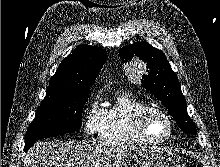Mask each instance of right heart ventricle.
<instances>
[{
	"label": "right heart ventricle",
	"mask_w": 220,
	"mask_h": 167,
	"mask_svg": "<svg viewBox=\"0 0 220 167\" xmlns=\"http://www.w3.org/2000/svg\"><path fill=\"white\" fill-rule=\"evenodd\" d=\"M145 106L146 102L130 93H119L113 104L104 110L100 141L113 146L143 144L133 123L138 111Z\"/></svg>",
	"instance_id": "right-heart-ventricle-1"
}]
</instances>
